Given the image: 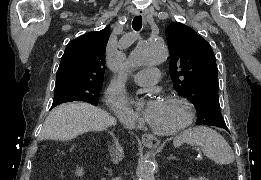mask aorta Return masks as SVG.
<instances>
[{"instance_id":"762f6f07","label":"aorta","mask_w":261,"mask_h":180,"mask_svg":"<svg viewBox=\"0 0 261 180\" xmlns=\"http://www.w3.org/2000/svg\"><path fill=\"white\" fill-rule=\"evenodd\" d=\"M168 50L161 45L149 42H139L131 52L128 59L123 65V69L129 72L132 69L158 65L166 61ZM155 167L153 162L146 160L139 164L137 175L139 180H155Z\"/></svg>"}]
</instances>
